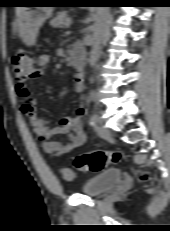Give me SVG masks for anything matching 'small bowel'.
Returning a JSON list of instances; mask_svg holds the SVG:
<instances>
[{
  "label": "small bowel",
  "instance_id": "c3829d8e",
  "mask_svg": "<svg viewBox=\"0 0 170 231\" xmlns=\"http://www.w3.org/2000/svg\"><path fill=\"white\" fill-rule=\"evenodd\" d=\"M50 62L48 55L40 56L37 61V74L39 77L44 74ZM74 90L80 96L84 93V76L78 72L75 75ZM16 92L22 98V113L29 119L33 131L36 134L41 144V149L50 157L55 158L72 152L85 142V133L82 127V117L85 114V109L80 106L74 117L62 118L59 125L51 128L49 121L39 117L37 114V100L33 97L27 83L16 84ZM67 135V141L52 140L55 135Z\"/></svg>",
  "mask_w": 170,
  "mask_h": 231
}]
</instances>
